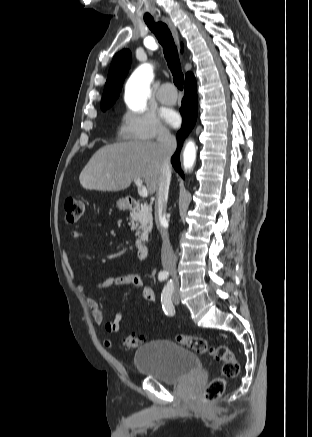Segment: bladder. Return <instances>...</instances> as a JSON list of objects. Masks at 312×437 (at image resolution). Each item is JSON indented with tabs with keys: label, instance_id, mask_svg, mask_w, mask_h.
<instances>
[{
	"label": "bladder",
	"instance_id": "31cf9c89",
	"mask_svg": "<svg viewBox=\"0 0 312 437\" xmlns=\"http://www.w3.org/2000/svg\"><path fill=\"white\" fill-rule=\"evenodd\" d=\"M134 365L145 377L165 384H179L191 375H201L199 357L184 346L165 339L152 340L139 347Z\"/></svg>",
	"mask_w": 312,
	"mask_h": 437
}]
</instances>
